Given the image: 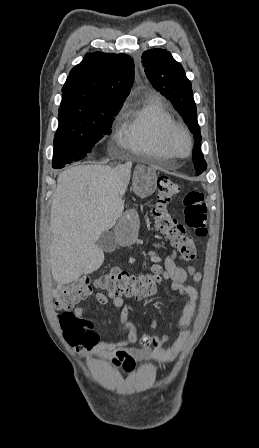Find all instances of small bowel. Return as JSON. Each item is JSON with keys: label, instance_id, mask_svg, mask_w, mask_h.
Here are the masks:
<instances>
[{"label": "small bowel", "instance_id": "c3829d8e", "mask_svg": "<svg viewBox=\"0 0 259 448\" xmlns=\"http://www.w3.org/2000/svg\"><path fill=\"white\" fill-rule=\"evenodd\" d=\"M159 245L155 244L150 252L151 257H158ZM162 278L171 281V289L180 293L184 299V307L178 321L180 332L177 339L169 347H164L168 336L153 337V348L135 347L139 336L136 327L129 321V305L121 296H117L108 292L97 293L95 299L98 304L106 305L111 302L115 308H120L119 328L127 333L126 339L120 342L101 341L96 332H89L87 338L75 347L76 352L83 359L91 357H99L103 360H109L113 366L122 367L125 372L130 373L134 370L137 361H154L156 363H169L173 361L179 354L182 346L186 342L189 332L187 327L192 323L196 313L197 291L194 287L186 285L185 282L189 277L195 281L200 279V274L192 266L180 267L174 259L167 255L164 258V268L162 270ZM83 308H76L75 314L80 316ZM156 321H152L150 327L155 329Z\"/></svg>", "mask_w": 259, "mask_h": 448}]
</instances>
